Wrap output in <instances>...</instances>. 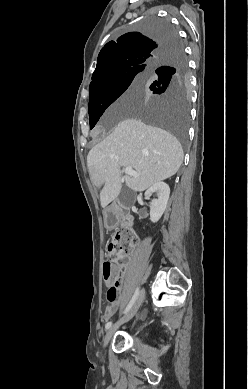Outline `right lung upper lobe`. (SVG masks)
I'll use <instances>...</instances> for the list:
<instances>
[{
	"label": "right lung upper lobe",
	"instance_id": "cb5924a9",
	"mask_svg": "<svg viewBox=\"0 0 248 389\" xmlns=\"http://www.w3.org/2000/svg\"><path fill=\"white\" fill-rule=\"evenodd\" d=\"M176 43L175 37L152 38L140 32L126 33L116 42L110 41L99 53L89 89L111 72L135 67L151 68L171 52Z\"/></svg>",
	"mask_w": 248,
	"mask_h": 389
}]
</instances>
